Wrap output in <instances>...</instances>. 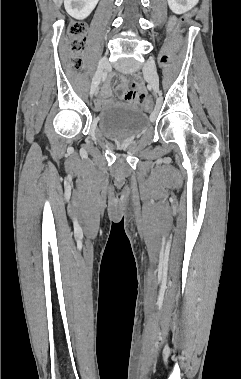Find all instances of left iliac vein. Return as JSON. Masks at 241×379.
Returning a JSON list of instances; mask_svg holds the SVG:
<instances>
[{"mask_svg":"<svg viewBox=\"0 0 241 379\" xmlns=\"http://www.w3.org/2000/svg\"><path fill=\"white\" fill-rule=\"evenodd\" d=\"M143 73L150 82L155 92L159 89V76L156 70V65L153 61H147L143 66Z\"/></svg>","mask_w":241,"mask_h":379,"instance_id":"obj_1","label":"left iliac vein"}]
</instances>
